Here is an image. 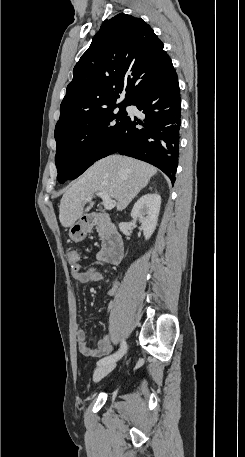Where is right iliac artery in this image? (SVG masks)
Listing matches in <instances>:
<instances>
[{
    "mask_svg": "<svg viewBox=\"0 0 245 457\" xmlns=\"http://www.w3.org/2000/svg\"><path fill=\"white\" fill-rule=\"evenodd\" d=\"M126 351H127V345H126V342L123 340L121 343L120 349L116 353L100 359L97 362V365L99 366V365H103L106 363L115 362V361L119 360L126 353Z\"/></svg>",
    "mask_w": 245,
    "mask_h": 457,
    "instance_id": "82829eb1",
    "label": "right iliac artery"
}]
</instances>
